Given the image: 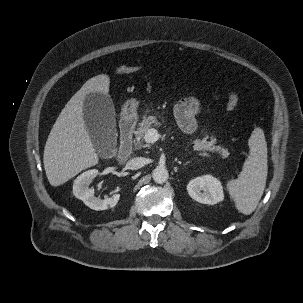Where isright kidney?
Listing matches in <instances>:
<instances>
[{
	"label": "right kidney",
	"instance_id": "right-kidney-1",
	"mask_svg": "<svg viewBox=\"0 0 303 303\" xmlns=\"http://www.w3.org/2000/svg\"><path fill=\"white\" fill-rule=\"evenodd\" d=\"M98 175V170L92 169L79 175L73 184V194L76 198L82 200L85 205L93 210H106L116 206L120 199V194H114L110 198L101 200L94 197V189L89 188L92 179Z\"/></svg>",
	"mask_w": 303,
	"mask_h": 303
}]
</instances>
